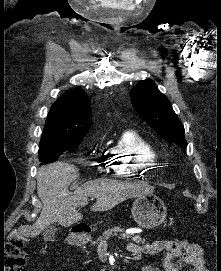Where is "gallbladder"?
I'll return each instance as SVG.
<instances>
[{"label": "gallbladder", "instance_id": "gallbladder-1", "mask_svg": "<svg viewBox=\"0 0 221 271\" xmlns=\"http://www.w3.org/2000/svg\"><path fill=\"white\" fill-rule=\"evenodd\" d=\"M56 231V225H48L46 229H43L42 235L44 237V241H54Z\"/></svg>", "mask_w": 221, "mask_h": 271}]
</instances>
